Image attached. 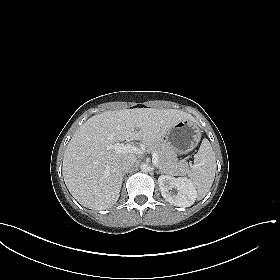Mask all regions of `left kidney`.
<instances>
[{"label": "left kidney", "instance_id": "1", "mask_svg": "<svg viewBox=\"0 0 280 280\" xmlns=\"http://www.w3.org/2000/svg\"><path fill=\"white\" fill-rule=\"evenodd\" d=\"M158 183L162 197L178 207H190L197 197L192 182L185 177H172L169 175H161ZM175 189L177 192H174Z\"/></svg>", "mask_w": 280, "mask_h": 280}]
</instances>
